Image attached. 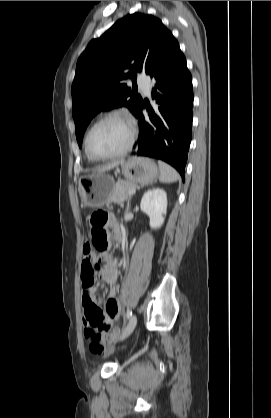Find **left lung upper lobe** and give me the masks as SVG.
<instances>
[{
    "label": "left lung upper lobe",
    "mask_w": 271,
    "mask_h": 418,
    "mask_svg": "<svg viewBox=\"0 0 271 418\" xmlns=\"http://www.w3.org/2000/svg\"><path fill=\"white\" fill-rule=\"evenodd\" d=\"M172 37L160 19L137 12L121 18L88 44L78 59L72 84L79 147L88 124L101 110L126 106L137 113L142 98L125 82L130 78L135 82L136 71L150 75Z\"/></svg>",
    "instance_id": "1"
}]
</instances>
